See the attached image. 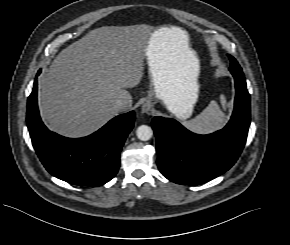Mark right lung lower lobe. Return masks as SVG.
<instances>
[{"instance_id": "right-lung-lower-lobe-1", "label": "right lung lower lobe", "mask_w": 290, "mask_h": 245, "mask_svg": "<svg viewBox=\"0 0 290 245\" xmlns=\"http://www.w3.org/2000/svg\"><path fill=\"white\" fill-rule=\"evenodd\" d=\"M134 118L131 111L113 118L87 137L66 138L49 131L40 119L37 81L27 100V127L39 159L53 176L75 185L100 186L116 175L120 151L134 126Z\"/></svg>"}]
</instances>
